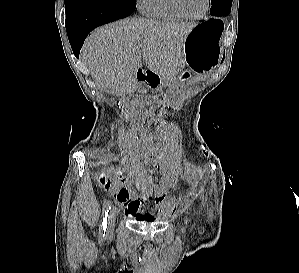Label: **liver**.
Listing matches in <instances>:
<instances>
[{"label":"liver","instance_id":"1","mask_svg":"<svg viewBox=\"0 0 299 273\" xmlns=\"http://www.w3.org/2000/svg\"><path fill=\"white\" fill-rule=\"evenodd\" d=\"M195 22H162L127 18L97 28L86 39L81 56L92 78L112 94L136 89V72L144 58L159 77L175 78L185 67L184 43Z\"/></svg>","mask_w":299,"mask_h":273}]
</instances>
